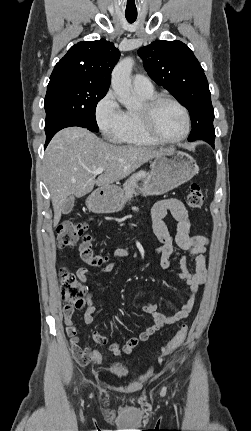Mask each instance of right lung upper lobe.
Returning a JSON list of instances; mask_svg holds the SVG:
<instances>
[{
    "label": "right lung upper lobe",
    "instance_id": "cb5924a9",
    "mask_svg": "<svg viewBox=\"0 0 251 431\" xmlns=\"http://www.w3.org/2000/svg\"><path fill=\"white\" fill-rule=\"evenodd\" d=\"M119 57V50L109 41H82L68 50L50 78L70 77L109 89L110 75Z\"/></svg>",
    "mask_w": 251,
    "mask_h": 431
}]
</instances>
